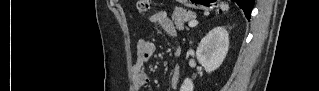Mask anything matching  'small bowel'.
I'll use <instances>...</instances> for the list:
<instances>
[{"label":"small bowel","instance_id":"1","mask_svg":"<svg viewBox=\"0 0 319 91\" xmlns=\"http://www.w3.org/2000/svg\"><path fill=\"white\" fill-rule=\"evenodd\" d=\"M149 21L157 25L168 35L175 37L176 29L169 18L168 14L164 11L156 12L149 17ZM157 47L155 43L147 39H140L137 44V59L133 64V76L134 84L137 88L146 86L150 83V76L147 72V62L156 53ZM180 53L179 49H176L175 55ZM170 83L173 88H176L180 81V69L178 66H174L170 72Z\"/></svg>","mask_w":319,"mask_h":91}]
</instances>
